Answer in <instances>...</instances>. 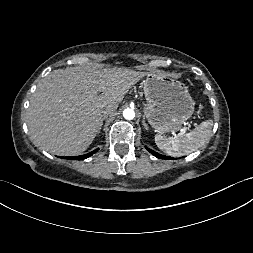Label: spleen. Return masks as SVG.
I'll use <instances>...</instances> for the list:
<instances>
[{
  "label": "spleen",
  "mask_w": 253,
  "mask_h": 253,
  "mask_svg": "<svg viewBox=\"0 0 253 253\" xmlns=\"http://www.w3.org/2000/svg\"><path fill=\"white\" fill-rule=\"evenodd\" d=\"M213 121L206 120L189 133L180 136L155 135V143L159 149L169 156L179 157L192 153L209 141L212 132Z\"/></svg>",
  "instance_id": "3e777b00"
}]
</instances>
